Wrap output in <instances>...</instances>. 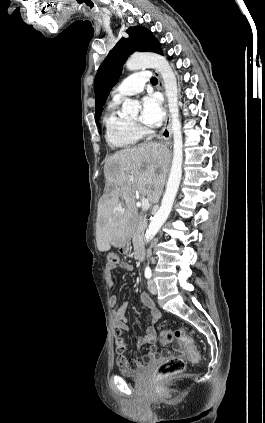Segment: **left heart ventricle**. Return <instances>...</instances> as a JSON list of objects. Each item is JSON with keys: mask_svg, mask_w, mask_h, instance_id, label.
Wrapping results in <instances>:
<instances>
[{"mask_svg": "<svg viewBox=\"0 0 265 423\" xmlns=\"http://www.w3.org/2000/svg\"><path fill=\"white\" fill-rule=\"evenodd\" d=\"M133 121H138L139 120V115H136L135 117L132 118Z\"/></svg>", "mask_w": 265, "mask_h": 423, "instance_id": "b2bd125f", "label": "left heart ventricle"}]
</instances>
